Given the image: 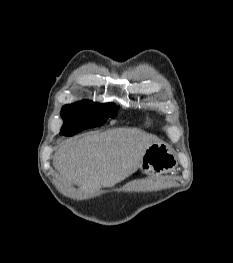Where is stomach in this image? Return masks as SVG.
Segmentation results:
<instances>
[{"label": "stomach", "instance_id": "obj_1", "mask_svg": "<svg viewBox=\"0 0 233 263\" xmlns=\"http://www.w3.org/2000/svg\"><path fill=\"white\" fill-rule=\"evenodd\" d=\"M176 166L172 149L162 142H156L145 150L140 169L148 175H158L171 172Z\"/></svg>", "mask_w": 233, "mask_h": 263}]
</instances>
